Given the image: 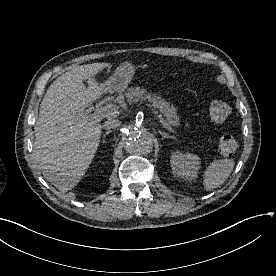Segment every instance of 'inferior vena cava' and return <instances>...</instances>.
Listing matches in <instances>:
<instances>
[{"mask_svg": "<svg viewBox=\"0 0 276 276\" xmlns=\"http://www.w3.org/2000/svg\"><path fill=\"white\" fill-rule=\"evenodd\" d=\"M121 125V122L118 119H109L105 121L103 124V128L110 130V129H115L118 128Z\"/></svg>", "mask_w": 276, "mask_h": 276, "instance_id": "1", "label": "inferior vena cava"}]
</instances>
